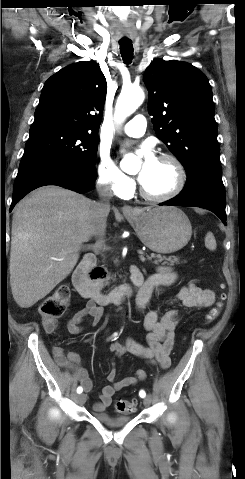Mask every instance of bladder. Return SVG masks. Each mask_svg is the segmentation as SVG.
I'll list each match as a JSON object with an SVG mask.
<instances>
[{"instance_id":"bladder-1","label":"bladder","mask_w":245,"mask_h":479,"mask_svg":"<svg viewBox=\"0 0 245 479\" xmlns=\"http://www.w3.org/2000/svg\"><path fill=\"white\" fill-rule=\"evenodd\" d=\"M93 417H94V419H96L100 423H103L105 425L112 426V427L123 426V425L127 424L128 422H130V420L132 419L131 416H116V417H113V416H110L108 414H100V413H95L93 415Z\"/></svg>"}]
</instances>
